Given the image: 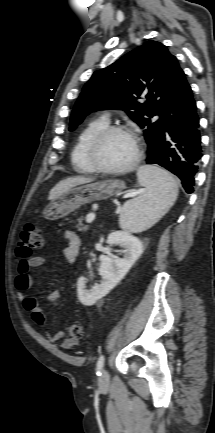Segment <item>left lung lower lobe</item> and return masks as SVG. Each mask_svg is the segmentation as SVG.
<instances>
[{"label": "left lung lower lobe", "mask_w": 215, "mask_h": 433, "mask_svg": "<svg viewBox=\"0 0 215 433\" xmlns=\"http://www.w3.org/2000/svg\"><path fill=\"white\" fill-rule=\"evenodd\" d=\"M201 157L199 117L191 87L185 79L164 110L162 129L146 163L158 164L178 176L190 194Z\"/></svg>", "instance_id": "0a47b994"}]
</instances>
